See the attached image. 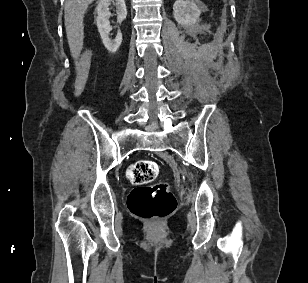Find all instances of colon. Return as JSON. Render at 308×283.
<instances>
[{"instance_id": "1", "label": "colon", "mask_w": 308, "mask_h": 283, "mask_svg": "<svg viewBox=\"0 0 308 283\" xmlns=\"http://www.w3.org/2000/svg\"><path fill=\"white\" fill-rule=\"evenodd\" d=\"M92 60V50L82 51L75 63V92L80 94L86 86ZM159 173L156 162L139 160L130 165L127 179L136 187L128 198L130 212L142 219L156 221L171 214L176 207V199L166 182H153Z\"/></svg>"}]
</instances>
